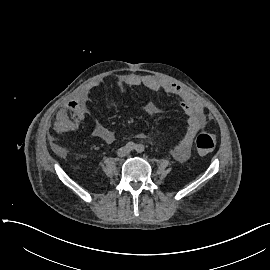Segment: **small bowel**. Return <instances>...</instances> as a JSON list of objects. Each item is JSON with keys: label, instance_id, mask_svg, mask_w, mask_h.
Wrapping results in <instances>:
<instances>
[{"label": "small bowel", "instance_id": "obj_1", "mask_svg": "<svg viewBox=\"0 0 270 270\" xmlns=\"http://www.w3.org/2000/svg\"><path fill=\"white\" fill-rule=\"evenodd\" d=\"M97 86V82L90 83L76 99L66 104V110L72 115V118L64 120L63 131L78 129L79 123L83 120L86 112L88 96ZM118 86L121 91H125L128 87H145L153 93L172 95L179 100L182 110L187 115V126L171 153L178 161L186 160L189 157L194 137L210 119L200 101L178 84L154 75H121L118 77ZM144 110L152 116L160 113L158 106L153 103L146 104ZM93 135L106 143H113L116 140L115 132L100 123L95 125Z\"/></svg>", "mask_w": 270, "mask_h": 270}]
</instances>
